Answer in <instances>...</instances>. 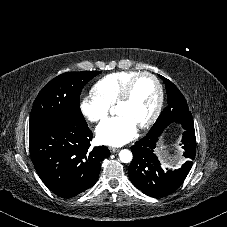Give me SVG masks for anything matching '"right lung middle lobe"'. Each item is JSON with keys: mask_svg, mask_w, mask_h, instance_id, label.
Segmentation results:
<instances>
[{"mask_svg": "<svg viewBox=\"0 0 227 227\" xmlns=\"http://www.w3.org/2000/svg\"><path fill=\"white\" fill-rule=\"evenodd\" d=\"M100 71L67 72L52 79L36 97L29 122V133L51 122L87 126L79 106L84 85Z\"/></svg>", "mask_w": 227, "mask_h": 227, "instance_id": "1", "label": "right lung middle lobe"}]
</instances>
